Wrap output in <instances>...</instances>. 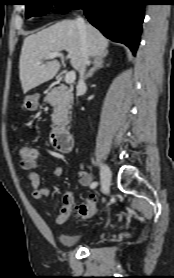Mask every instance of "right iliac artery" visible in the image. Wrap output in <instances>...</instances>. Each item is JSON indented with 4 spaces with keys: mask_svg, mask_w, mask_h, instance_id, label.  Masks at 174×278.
Returning a JSON list of instances; mask_svg holds the SVG:
<instances>
[{
    "mask_svg": "<svg viewBox=\"0 0 174 278\" xmlns=\"http://www.w3.org/2000/svg\"><path fill=\"white\" fill-rule=\"evenodd\" d=\"M98 185L97 182H93V184L91 185V188H95Z\"/></svg>",
    "mask_w": 174,
    "mask_h": 278,
    "instance_id": "82829eb1",
    "label": "right iliac artery"
}]
</instances>
